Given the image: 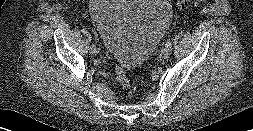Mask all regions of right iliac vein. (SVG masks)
Instances as JSON below:
<instances>
[{
  "mask_svg": "<svg viewBox=\"0 0 253 131\" xmlns=\"http://www.w3.org/2000/svg\"><path fill=\"white\" fill-rule=\"evenodd\" d=\"M90 51H91V53L93 54V55H96L97 53H98V49L96 48L95 50H92L91 48H90Z\"/></svg>",
  "mask_w": 253,
  "mask_h": 131,
  "instance_id": "right-iliac-vein-1",
  "label": "right iliac vein"
}]
</instances>
